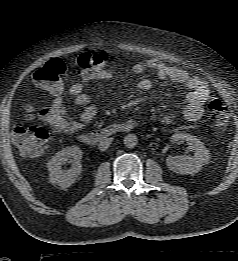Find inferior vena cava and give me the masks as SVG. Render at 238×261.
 <instances>
[{
    "instance_id": "obj_1",
    "label": "inferior vena cava",
    "mask_w": 238,
    "mask_h": 261,
    "mask_svg": "<svg viewBox=\"0 0 238 261\" xmlns=\"http://www.w3.org/2000/svg\"><path fill=\"white\" fill-rule=\"evenodd\" d=\"M111 142H112V138L102 139L98 144L99 150L105 151L110 146Z\"/></svg>"
}]
</instances>
